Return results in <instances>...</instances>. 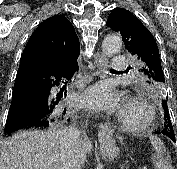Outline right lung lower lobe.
Instances as JSON below:
<instances>
[{"mask_svg":"<svg viewBox=\"0 0 177 169\" xmlns=\"http://www.w3.org/2000/svg\"><path fill=\"white\" fill-rule=\"evenodd\" d=\"M77 70L78 64L72 68L19 66L5 132L46 127L66 120L64 99L54 87L63 83V79L70 80Z\"/></svg>","mask_w":177,"mask_h":169,"instance_id":"98d812e1","label":"right lung lower lobe"}]
</instances>
